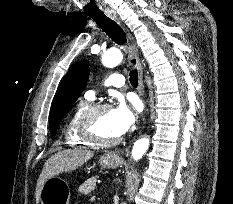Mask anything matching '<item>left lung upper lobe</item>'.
Wrapping results in <instances>:
<instances>
[{"instance_id": "left-lung-upper-lobe-1", "label": "left lung upper lobe", "mask_w": 233, "mask_h": 204, "mask_svg": "<svg viewBox=\"0 0 233 204\" xmlns=\"http://www.w3.org/2000/svg\"><path fill=\"white\" fill-rule=\"evenodd\" d=\"M88 77V64L85 61H80L69 70L62 80L54 96L50 111L49 126L52 138L60 121L85 88Z\"/></svg>"}]
</instances>
